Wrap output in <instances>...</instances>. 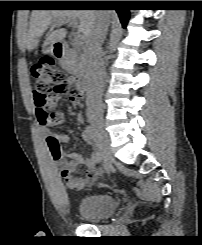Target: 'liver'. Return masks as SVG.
<instances>
[{
	"label": "liver",
	"mask_w": 202,
	"mask_h": 245,
	"mask_svg": "<svg viewBox=\"0 0 202 245\" xmlns=\"http://www.w3.org/2000/svg\"><path fill=\"white\" fill-rule=\"evenodd\" d=\"M98 12L93 10H33L30 18L29 30L26 35L24 44L25 48L30 52L34 50L40 41V38L52 27L55 23L66 19L79 20L78 31L83 34L87 41L92 32ZM110 18L112 12H104ZM65 29H57L52 31L44 45L54 44L62 41L66 37Z\"/></svg>",
	"instance_id": "6515ba94"
}]
</instances>
